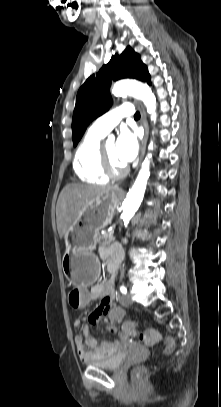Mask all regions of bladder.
<instances>
[{"mask_svg":"<svg viewBox=\"0 0 221 407\" xmlns=\"http://www.w3.org/2000/svg\"><path fill=\"white\" fill-rule=\"evenodd\" d=\"M124 361V354L115 353L105 359L87 361L86 365L107 370H117L123 365Z\"/></svg>","mask_w":221,"mask_h":407,"instance_id":"obj_1","label":"bladder"}]
</instances>
